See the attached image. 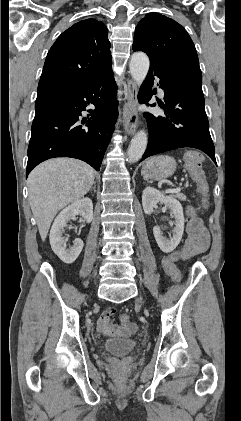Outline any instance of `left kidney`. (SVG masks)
<instances>
[{
  "label": "left kidney",
  "instance_id": "obj_1",
  "mask_svg": "<svg viewBox=\"0 0 241 421\" xmlns=\"http://www.w3.org/2000/svg\"><path fill=\"white\" fill-rule=\"evenodd\" d=\"M164 203L171 211L175 218V227L173 235L170 239L163 237L161 230L158 226L153 228V234L159 248L164 253L172 252L180 243L184 231V215L183 207L178 200L171 196H165L155 188L147 187L142 194V206L145 214L150 215L153 213V208L157 203Z\"/></svg>",
  "mask_w": 241,
  "mask_h": 421
}]
</instances>
